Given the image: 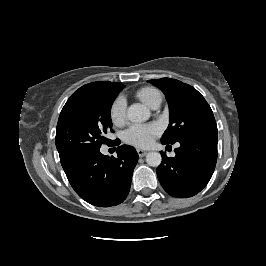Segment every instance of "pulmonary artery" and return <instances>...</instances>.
Returning a JSON list of instances; mask_svg holds the SVG:
<instances>
[{
  "instance_id": "pulmonary-artery-1",
  "label": "pulmonary artery",
  "mask_w": 266,
  "mask_h": 266,
  "mask_svg": "<svg viewBox=\"0 0 266 266\" xmlns=\"http://www.w3.org/2000/svg\"><path fill=\"white\" fill-rule=\"evenodd\" d=\"M159 105H160V103H158V104H156L154 107H152L153 109H156V108H158L159 107Z\"/></svg>"
}]
</instances>
